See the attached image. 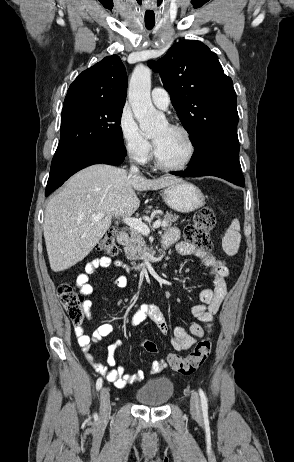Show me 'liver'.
Segmentation results:
<instances>
[{
  "label": "liver",
  "mask_w": 294,
  "mask_h": 462,
  "mask_svg": "<svg viewBox=\"0 0 294 462\" xmlns=\"http://www.w3.org/2000/svg\"><path fill=\"white\" fill-rule=\"evenodd\" d=\"M181 179H147L97 164L73 175L47 204L43 233L50 267L64 271L83 260L103 237L112 218L130 217L140 206L135 191L158 190ZM104 217L93 220L92 216Z\"/></svg>",
  "instance_id": "liver-1"
}]
</instances>
